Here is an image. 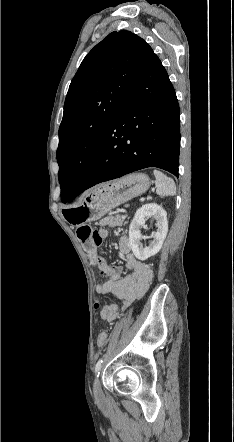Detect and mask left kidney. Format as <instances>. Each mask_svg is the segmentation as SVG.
Returning a JSON list of instances; mask_svg holds the SVG:
<instances>
[{"label": "left kidney", "instance_id": "obj_1", "mask_svg": "<svg viewBox=\"0 0 234 442\" xmlns=\"http://www.w3.org/2000/svg\"><path fill=\"white\" fill-rule=\"evenodd\" d=\"M152 216L156 219V232L152 235L153 241L149 246L141 244L140 227L145 224V218ZM168 232V221L166 211L156 203H149L139 208L129 227V242L133 254L141 261L157 254L166 238Z\"/></svg>", "mask_w": 234, "mask_h": 442}]
</instances>
